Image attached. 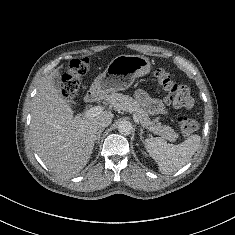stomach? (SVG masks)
I'll use <instances>...</instances> for the list:
<instances>
[{
    "instance_id": "0dacf381",
    "label": "stomach",
    "mask_w": 235,
    "mask_h": 235,
    "mask_svg": "<svg viewBox=\"0 0 235 235\" xmlns=\"http://www.w3.org/2000/svg\"><path fill=\"white\" fill-rule=\"evenodd\" d=\"M151 70L148 58L140 55H119L107 66L93 82L90 92L95 96L129 88L137 77L146 75Z\"/></svg>"
}]
</instances>
